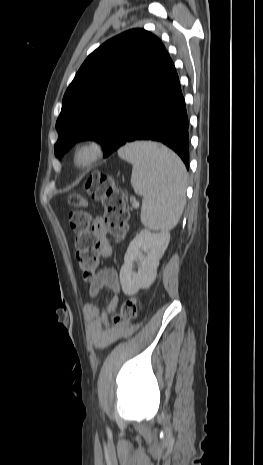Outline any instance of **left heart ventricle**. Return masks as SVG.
I'll return each instance as SVG.
<instances>
[{
  "label": "left heart ventricle",
  "instance_id": "b2bd125f",
  "mask_svg": "<svg viewBox=\"0 0 263 465\" xmlns=\"http://www.w3.org/2000/svg\"><path fill=\"white\" fill-rule=\"evenodd\" d=\"M84 158H85V155H84V154H81V155L79 156V159H80V160H83Z\"/></svg>",
  "mask_w": 263,
  "mask_h": 465
}]
</instances>
